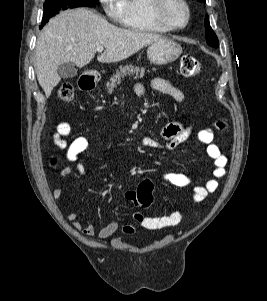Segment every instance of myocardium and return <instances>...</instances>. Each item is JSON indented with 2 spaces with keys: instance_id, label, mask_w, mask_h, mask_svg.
<instances>
[{
  "instance_id": "obj_1",
  "label": "myocardium",
  "mask_w": 267,
  "mask_h": 301,
  "mask_svg": "<svg viewBox=\"0 0 267 301\" xmlns=\"http://www.w3.org/2000/svg\"><path fill=\"white\" fill-rule=\"evenodd\" d=\"M170 1L171 0H154V4H153L154 16L158 20V22H160L162 25H164L170 30L183 29L188 25L191 18L190 6L187 0H178L182 4L186 12V18L184 23L179 25L172 22L166 14V9Z\"/></svg>"
}]
</instances>
